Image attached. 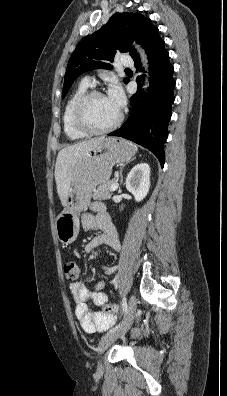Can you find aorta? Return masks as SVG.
Returning <instances> with one entry per match:
<instances>
[{
	"label": "aorta",
	"mask_w": 227,
	"mask_h": 396,
	"mask_svg": "<svg viewBox=\"0 0 227 396\" xmlns=\"http://www.w3.org/2000/svg\"><path fill=\"white\" fill-rule=\"evenodd\" d=\"M135 48L137 49V51H138L139 54H140L143 67H144L145 69H147V67H148V64H147V63H148V60H147V57H146V54H145L144 50L141 49L139 45H135ZM147 87H148V80L146 79V80H145L144 88H147Z\"/></svg>",
	"instance_id": "aorta-1"
}]
</instances>
